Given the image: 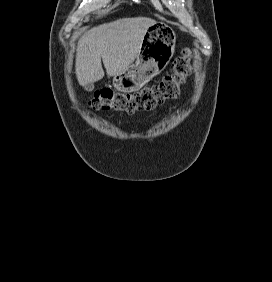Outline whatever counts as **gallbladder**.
I'll return each instance as SVG.
<instances>
[{
	"label": "gallbladder",
	"instance_id": "gallbladder-1",
	"mask_svg": "<svg viewBox=\"0 0 272 282\" xmlns=\"http://www.w3.org/2000/svg\"><path fill=\"white\" fill-rule=\"evenodd\" d=\"M92 89H93V85L92 84L85 85V90L86 91H91Z\"/></svg>",
	"mask_w": 272,
	"mask_h": 282
}]
</instances>
